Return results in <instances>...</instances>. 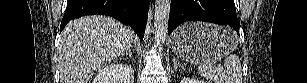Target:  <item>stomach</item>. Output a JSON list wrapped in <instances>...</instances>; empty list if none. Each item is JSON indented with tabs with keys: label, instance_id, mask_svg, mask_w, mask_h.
I'll use <instances>...</instances> for the list:
<instances>
[{
	"label": "stomach",
	"instance_id": "stomach-1",
	"mask_svg": "<svg viewBox=\"0 0 307 83\" xmlns=\"http://www.w3.org/2000/svg\"><path fill=\"white\" fill-rule=\"evenodd\" d=\"M238 44L236 33L223 26L190 22L180 26L172 39L173 51L184 60L203 64L217 62L233 52Z\"/></svg>",
	"mask_w": 307,
	"mask_h": 83
}]
</instances>
